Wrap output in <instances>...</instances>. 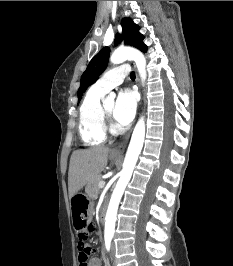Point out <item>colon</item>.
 Wrapping results in <instances>:
<instances>
[{
    "mask_svg": "<svg viewBox=\"0 0 233 266\" xmlns=\"http://www.w3.org/2000/svg\"><path fill=\"white\" fill-rule=\"evenodd\" d=\"M95 225H88L86 232L78 234L79 266H86L89 256L93 253V248L86 241L88 233L94 232Z\"/></svg>",
    "mask_w": 233,
    "mask_h": 266,
    "instance_id": "5ec220e1",
    "label": "colon"
}]
</instances>
